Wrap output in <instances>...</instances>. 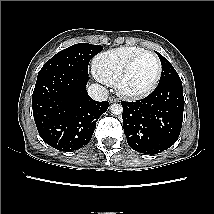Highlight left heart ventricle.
<instances>
[{"label": "left heart ventricle", "mask_w": 214, "mask_h": 214, "mask_svg": "<svg viewBox=\"0 0 214 214\" xmlns=\"http://www.w3.org/2000/svg\"><path fill=\"white\" fill-rule=\"evenodd\" d=\"M157 64L153 56L144 55L132 68L124 87L128 91L138 92L148 88L155 79Z\"/></svg>", "instance_id": "left-heart-ventricle-1"}]
</instances>
